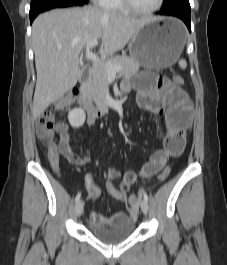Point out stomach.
Returning <instances> with one entry per match:
<instances>
[{"instance_id":"stomach-1","label":"stomach","mask_w":227,"mask_h":265,"mask_svg":"<svg viewBox=\"0 0 227 265\" xmlns=\"http://www.w3.org/2000/svg\"><path fill=\"white\" fill-rule=\"evenodd\" d=\"M186 42L184 25L175 18L146 23L130 40L131 58L144 68L160 70L172 66Z\"/></svg>"}]
</instances>
